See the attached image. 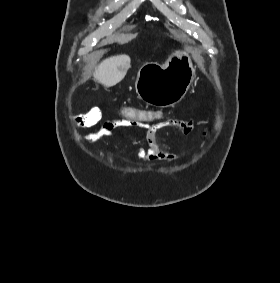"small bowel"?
<instances>
[{
	"mask_svg": "<svg viewBox=\"0 0 280 283\" xmlns=\"http://www.w3.org/2000/svg\"><path fill=\"white\" fill-rule=\"evenodd\" d=\"M100 118V110L98 108H92L89 112L76 117L74 122L78 127L86 128L98 123ZM136 127L146 130V146L137 147L138 156L143 162L173 161L176 156L160 146L157 141V134L164 128H175L188 134L193 129V121L168 118L160 119L159 122H154L153 125H145L144 122H122L121 119L112 120L105 122L98 130L91 133L87 141L89 143H95L104 137L116 135L120 128L130 129Z\"/></svg>",
	"mask_w": 280,
	"mask_h": 283,
	"instance_id": "c3829d8e",
	"label": "small bowel"
}]
</instances>
